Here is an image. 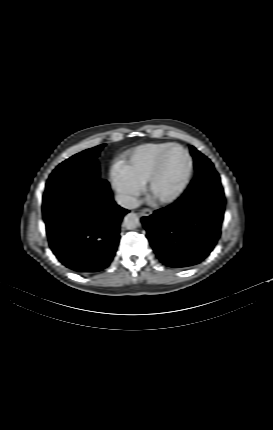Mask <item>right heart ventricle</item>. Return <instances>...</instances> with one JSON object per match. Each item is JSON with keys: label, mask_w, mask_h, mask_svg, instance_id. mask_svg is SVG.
<instances>
[{"label": "right heart ventricle", "mask_w": 273, "mask_h": 430, "mask_svg": "<svg viewBox=\"0 0 273 430\" xmlns=\"http://www.w3.org/2000/svg\"><path fill=\"white\" fill-rule=\"evenodd\" d=\"M172 145L169 142H153L140 145L128 153L122 165L129 176L141 187L155 166L161 152Z\"/></svg>", "instance_id": "e07e8e85"}]
</instances>
